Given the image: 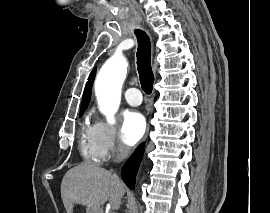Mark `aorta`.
<instances>
[{"label": "aorta", "mask_w": 270, "mask_h": 213, "mask_svg": "<svg viewBox=\"0 0 270 213\" xmlns=\"http://www.w3.org/2000/svg\"><path fill=\"white\" fill-rule=\"evenodd\" d=\"M128 62L122 55H113L101 67L96 81L95 93L99 110L109 124H114L115 113L121 101V88L127 74Z\"/></svg>", "instance_id": "762f6f07"}]
</instances>
